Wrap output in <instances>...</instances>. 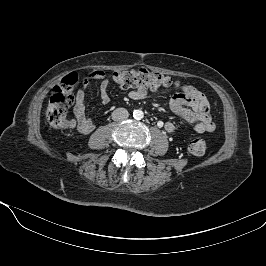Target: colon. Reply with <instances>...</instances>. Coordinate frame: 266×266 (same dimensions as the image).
Masks as SVG:
<instances>
[{
  "mask_svg": "<svg viewBox=\"0 0 266 266\" xmlns=\"http://www.w3.org/2000/svg\"><path fill=\"white\" fill-rule=\"evenodd\" d=\"M110 77L125 89L143 87L159 90L180 86L170 77L147 68L115 71ZM80 78V75L70 73L52 90L46 110V119L51 126L61 129H72L75 126L67 111L74 101L72 90ZM188 150L193 155H203L207 151V142L201 138L192 139L188 144Z\"/></svg>",
  "mask_w": 266,
  "mask_h": 266,
  "instance_id": "1",
  "label": "colon"
}]
</instances>
